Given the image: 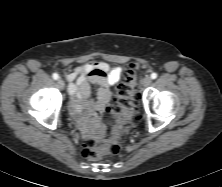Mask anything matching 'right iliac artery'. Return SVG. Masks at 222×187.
<instances>
[{"instance_id":"82829eb1","label":"right iliac artery","mask_w":222,"mask_h":187,"mask_svg":"<svg viewBox=\"0 0 222 187\" xmlns=\"http://www.w3.org/2000/svg\"><path fill=\"white\" fill-rule=\"evenodd\" d=\"M52 77H53L54 80H57V79L59 78V76H58L57 73H54V74L52 75Z\"/></svg>"}]
</instances>
